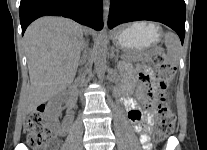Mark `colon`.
Wrapping results in <instances>:
<instances>
[{
    "instance_id": "5ec220e1",
    "label": "colon",
    "mask_w": 207,
    "mask_h": 150,
    "mask_svg": "<svg viewBox=\"0 0 207 150\" xmlns=\"http://www.w3.org/2000/svg\"><path fill=\"white\" fill-rule=\"evenodd\" d=\"M152 62L159 74L154 139L160 142L176 128L175 116L166 97V88L174 74V67L162 51L154 53ZM25 132L33 150H54L56 141L44 123L43 109L37 108L28 116Z\"/></svg>"
}]
</instances>
